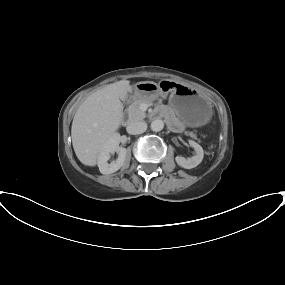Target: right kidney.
<instances>
[{
	"instance_id": "right-kidney-1",
	"label": "right kidney",
	"mask_w": 285,
	"mask_h": 285,
	"mask_svg": "<svg viewBox=\"0 0 285 285\" xmlns=\"http://www.w3.org/2000/svg\"><path fill=\"white\" fill-rule=\"evenodd\" d=\"M119 138L120 136L115 134L99 153L97 164L102 174H112L124 165L127 149L119 146ZM115 152L118 154V158L109 164L110 154Z\"/></svg>"
}]
</instances>
